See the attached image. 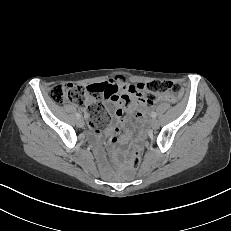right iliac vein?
I'll return each instance as SVG.
<instances>
[{
    "mask_svg": "<svg viewBox=\"0 0 231 231\" xmlns=\"http://www.w3.org/2000/svg\"><path fill=\"white\" fill-rule=\"evenodd\" d=\"M77 126L80 127V128H83L84 125H85V122L83 119L79 118L76 122Z\"/></svg>",
    "mask_w": 231,
    "mask_h": 231,
    "instance_id": "obj_1",
    "label": "right iliac vein"
}]
</instances>
